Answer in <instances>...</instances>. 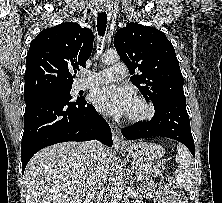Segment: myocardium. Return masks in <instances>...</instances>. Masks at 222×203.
Segmentation results:
<instances>
[{
    "instance_id": "f54148a6",
    "label": "myocardium",
    "mask_w": 222,
    "mask_h": 203,
    "mask_svg": "<svg viewBox=\"0 0 222 203\" xmlns=\"http://www.w3.org/2000/svg\"><path fill=\"white\" fill-rule=\"evenodd\" d=\"M133 102L139 104L142 107V112L137 115H127V121L131 123H141L149 120L154 115V107L145 98L136 96Z\"/></svg>"
}]
</instances>
